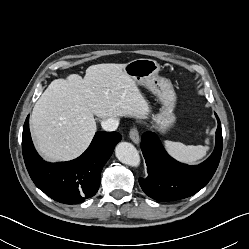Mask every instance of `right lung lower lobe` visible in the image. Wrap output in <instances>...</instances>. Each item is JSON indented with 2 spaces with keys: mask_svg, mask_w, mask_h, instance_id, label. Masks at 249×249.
Returning <instances> with one entry per match:
<instances>
[{
  "mask_svg": "<svg viewBox=\"0 0 249 249\" xmlns=\"http://www.w3.org/2000/svg\"><path fill=\"white\" fill-rule=\"evenodd\" d=\"M120 140L121 135L117 132L99 131L80 157L68 162L49 163L33 146L27 117L22 152L29 175L41 191L58 202L76 204L96 194L102 168Z\"/></svg>",
  "mask_w": 249,
  "mask_h": 249,
  "instance_id": "obj_1",
  "label": "right lung lower lobe"
}]
</instances>
